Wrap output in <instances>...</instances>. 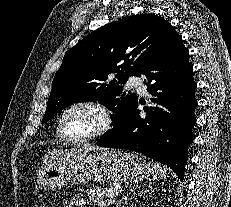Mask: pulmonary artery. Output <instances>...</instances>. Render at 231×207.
<instances>
[{"label": "pulmonary artery", "mask_w": 231, "mask_h": 207, "mask_svg": "<svg viewBox=\"0 0 231 207\" xmlns=\"http://www.w3.org/2000/svg\"><path fill=\"white\" fill-rule=\"evenodd\" d=\"M128 85L130 87H133V88L137 89L138 91H141V92H144V90H145L142 79L140 77L136 76V75L131 76L129 78Z\"/></svg>", "instance_id": "obj_1"}]
</instances>
